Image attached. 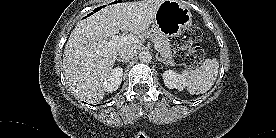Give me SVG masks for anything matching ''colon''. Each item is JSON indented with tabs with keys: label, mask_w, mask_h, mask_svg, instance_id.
Returning <instances> with one entry per match:
<instances>
[{
	"label": "colon",
	"mask_w": 276,
	"mask_h": 138,
	"mask_svg": "<svg viewBox=\"0 0 276 138\" xmlns=\"http://www.w3.org/2000/svg\"><path fill=\"white\" fill-rule=\"evenodd\" d=\"M204 36L201 28L194 27L173 40L175 60L179 65L190 67L203 61L204 49L194 43L202 41Z\"/></svg>",
	"instance_id": "1"
}]
</instances>
